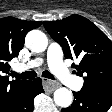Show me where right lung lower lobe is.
<instances>
[{
  "label": "right lung lower lobe",
  "mask_w": 112,
  "mask_h": 112,
  "mask_svg": "<svg viewBox=\"0 0 112 112\" xmlns=\"http://www.w3.org/2000/svg\"><path fill=\"white\" fill-rule=\"evenodd\" d=\"M43 92L41 78L26 81L4 112H33L34 97Z\"/></svg>",
  "instance_id": "1"
}]
</instances>
